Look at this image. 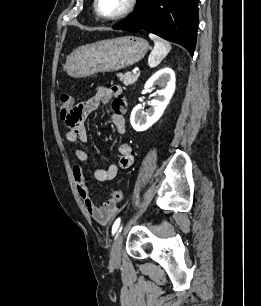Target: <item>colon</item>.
<instances>
[{
	"label": "colon",
	"instance_id": "1",
	"mask_svg": "<svg viewBox=\"0 0 261 306\" xmlns=\"http://www.w3.org/2000/svg\"><path fill=\"white\" fill-rule=\"evenodd\" d=\"M60 116L62 119H66L74 108L73 97L69 94L61 95L59 99ZM123 198V194L120 190H114L111 195V199L115 202H120Z\"/></svg>",
	"mask_w": 261,
	"mask_h": 306
}]
</instances>
